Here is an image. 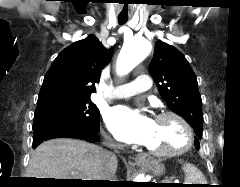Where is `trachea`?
<instances>
[{"instance_id": "obj_1", "label": "trachea", "mask_w": 240, "mask_h": 187, "mask_svg": "<svg viewBox=\"0 0 240 187\" xmlns=\"http://www.w3.org/2000/svg\"><path fill=\"white\" fill-rule=\"evenodd\" d=\"M128 21V17H118V22L120 24H125Z\"/></svg>"}]
</instances>
